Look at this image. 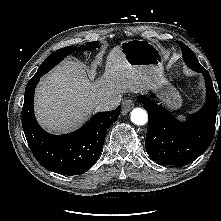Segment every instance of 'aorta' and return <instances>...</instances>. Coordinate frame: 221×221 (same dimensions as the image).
Listing matches in <instances>:
<instances>
[{
  "mask_svg": "<svg viewBox=\"0 0 221 221\" xmlns=\"http://www.w3.org/2000/svg\"><path fill=\"white\" fill-rule=\"evenodd\" d=\"M131 121L136 125H145L148 121V114L142 108H134L131 112Z\"/></svg>",
  "mask_w": 221,
  "mask_h": 221,
  "instance_id": "obj_1",
  "label": "aorta"
}]
</instances>
